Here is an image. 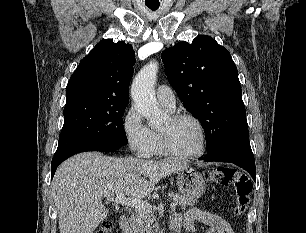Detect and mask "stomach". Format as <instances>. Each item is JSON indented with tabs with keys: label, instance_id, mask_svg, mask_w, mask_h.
I'll return each instance as SVG.
<instances>
[{
	"label": "stomach",
	"instance_id": "obj_1",
	"mask_svg": "<svg viewBox=\"0 0 306 233\" xmlns=\"http://www.w3.org/2000/svg\"><path fill=\"white\" fill-rule=\"evenodd\" d=\"M177 185L182 195L194 199L201 197L206 189L203 176L189 167L178 173Z\"/></svg>",
	"mask_w": 306,
	"mask_h": 233
}]
</instances>
